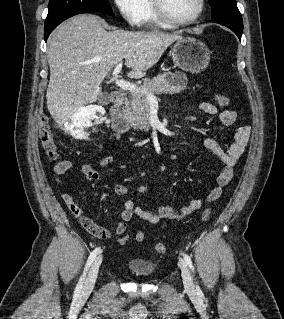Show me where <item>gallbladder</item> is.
Wrapping results in <instances>:
<instances>
[{
    "instance_id": "obj_1",
    "label": "gallbladder",
    "mask_w": 284,
    "mask_h": 319,
    "mask_svg": "<svg viewBox=\"0 0 284 319\" xmlns=\"http://www.w3.org/2000/svg\"><path fill=\"white\" fill-rule=\"evenodd\" d=\"M110 101V96L108 93H101L98 97V102L102 105L109 103Z\"/></svg>"
}]
</instances>
